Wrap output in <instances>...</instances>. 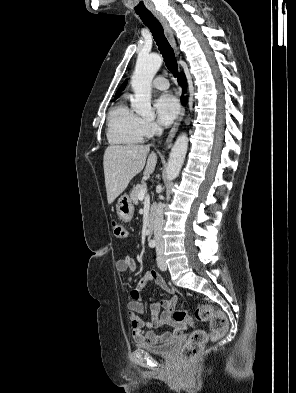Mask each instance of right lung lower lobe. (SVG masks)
Here are the masks:
<instances>
[{
	"label": "right lung lower lobe",
	"instance_id": "right-lung-lower-lobe-1",
	"mask_svg": "<svg viewBox=\"0 0 296 393\" xmlns=\"http://www.w3.org/2000/svg\"><path fill=\"white\" fill-rule=\"evenodd\" d=\"M178 80H179V84H180L181 86H183V92H184V91H185V88H186V79H185L184 75H183V74H180V77H179ZM181 101H182L183 103H186V97L182 96Z\"/></svg>",
	"mask_w": 296,
	"mask_h": 393
}]
</instances>
